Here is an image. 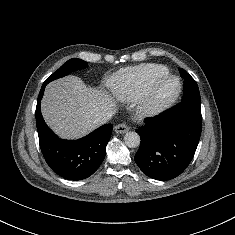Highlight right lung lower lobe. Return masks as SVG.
<instances>
[{
	"label": "right lung lower lobe",
	"mask_w": 235,
	"mask_h": 235,
	"mask_svg": "<svg viewBox=\"0 0 235 235\" xmlns=\"http://www.w3.org/2000/svg\"><path fill=\"white\" fill-rule=\"evenodd\" d=\"M43 84L36 107L39 144L50 168L68 180H81L92 175L106 155V145L112 134V124H105L78 140H62L46 125L40 110L45 86Z\"/></svg>",
	"instance_id": "1"
}]
</instances>
